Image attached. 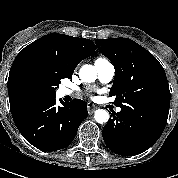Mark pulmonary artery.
Instances as JSON below:
<instances>
[{"mask_svg":"<svg viewBox=\"0 0 178 178\" xmlns=\"http://www.w3.org/2000/svg\"><path fill=\"white\" fill-rule=\"evenodd\" d=\"M95 66H96V70H97V74H98V78L100 82L104 84L111 82V80L113 79L115 75V68L113 64L105 60L101 62H96ZM60 94L62 96L70 95L72 94V91L69 90L68 88H61ZM117 110L120 111V108H118Z\"/></svg>","mask_w":178,"mask_h":178,"instance_id":"obj_1","label":"pulmonary artery"}]
</instances>
